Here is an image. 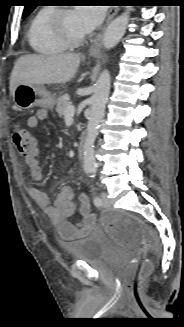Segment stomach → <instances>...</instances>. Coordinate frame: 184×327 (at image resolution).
I'll return each mask as SVG.
<instances>
[{
	"mask_svg": "<svg viewBox=\"0 0 184 327\" xmlns=\"http://www.w3.org/2000/svg\"><path fill=\"white\" fill-rule=\"evenodd\" d=\"M14 105L17 109L43 107L53 109L55 97L42 85L19 84L13 94Z\"/></svg>",
	"mask_w": 184,
	"mask_h": 327,
	"instance_id": "1",
	"label": "stomach"
}]
</instances>
